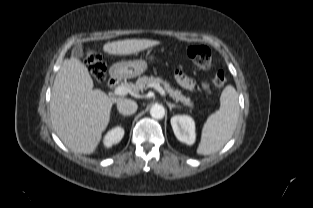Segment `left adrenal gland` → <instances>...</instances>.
Masks as SVG:
<instances>
[{"label":"left adrenal gland","mask_w":313,"mask_h":208,"mask_svg":"<svg viewBox=\"0 0 313 208\" xmlns=\"http://www.w3.org/2000/svg\"><path fill=\"white\" fill-rule=\"evenodd\" d=\"M166 103H167V105H168L170 111H172V108H180V106L175 105V104H173V103H170V102H168V101H167Z\"/></svg>","instance_id":"1"}]
</instances>
